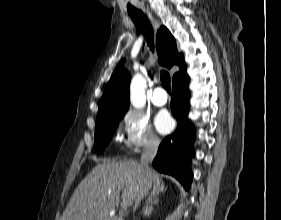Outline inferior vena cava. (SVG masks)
Listing matches in <instances>:
<instances>
[{"mask_svg": "<svg viewBox=\"0 0 281 220\" xmlns=\"http://www.w3.org/2000/svg\"><path fill=\"white\" fill-rule=\"evenodd\" d=\"M159 140L156 138L151 139L146 145L142 156H141V165L144 167L146 171V178L144 179V185L141 187L140 192L135 199L134 210L137 208L143 197L146 195L148 188L151 185V169L149 168V164L152 163L156 153L158 151Z\"/></svg>", "mask_w": 281, "mask_h": 220, "instance_id": "obj_1", "label": "inferior vena cava"}]
</instances>
